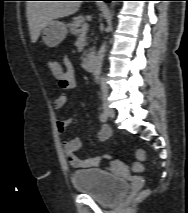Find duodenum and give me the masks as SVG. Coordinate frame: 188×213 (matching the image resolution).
I'll return each mask as SVG.
<instances>
[{
  "label": "duodenum",
  "mask_w": 188,
  "mask_h": 213,
  "mask_svg": "<svg viewBox=\"0 0 188 213\" xmlns=\"http://www.w3.org/2000/svg\"><path fill=\"white\" fill-rule=\"evenodd\" d=\"M95 59L93 57H90L85 60L84 62V68L88 72H93L95 70Z\"/></svg>",
  "instance_id": "obj_1"
}]
</instances>
